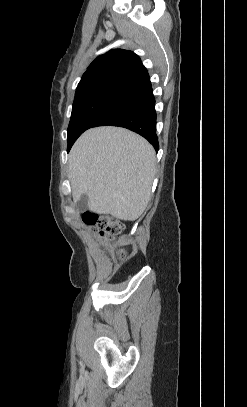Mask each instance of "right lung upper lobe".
<instances>
[{
  "label": "right lung upper lobe",
  "mask_w": 247,
  "mask_h": 407,
  "mask_svg": "<svg viewBox=\"0 0 247 407\" xmlns=\"http://www.w3.org/2000/svg\"><path fill=\"white\" fill-rule=\"evenodd\" d=\"M151 86L147 70L132 51L114 49L95 59L79 82L74 101L109 88L140 91Z\"/></svg>",
  "instance_id": "obj_1"
}]
</instances>
